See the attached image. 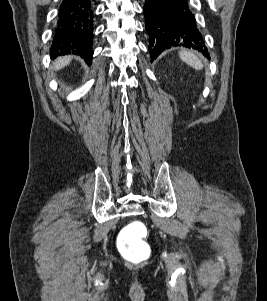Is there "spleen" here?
<instances>
[{
    "label": "spleen",
    "mask_w": 267,
    "mask_h": 301,
    "mask_svg": "<svg viewBox=\"0 0 267 301\" xmlns=\"http://www.w3.org/2000/svg\"><path fill=\"white\" fill-rule=\"evenodd\" d=\"M179 57L183 62H185L186 64H188L196 70H201L203 68L201 60L189 51H180Z\"/></svg>",
    "instance_id": "1"
}]
</instances>
